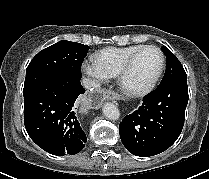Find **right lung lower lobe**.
<instances>
[{"mask_svg": "<svg viewBox=\"0 0 209 179\" xmlns=\"http://www.w3.org/2000/svg\"><path fill=\"white\" fill-rule=\"evenodd\" d=\"M84 92L79 78L58 77L24 101L26 130L40 148L57 156L74 155L84 148L87 138L73 107Z\"/></svg>", "mask_w": 209, "mask_h": 179, "instance_id": "98d812e1", "label": "right lung lower lobe"}]
</instances>
